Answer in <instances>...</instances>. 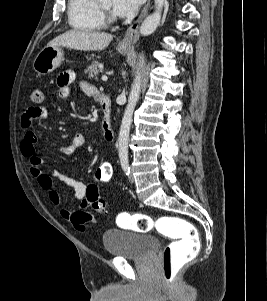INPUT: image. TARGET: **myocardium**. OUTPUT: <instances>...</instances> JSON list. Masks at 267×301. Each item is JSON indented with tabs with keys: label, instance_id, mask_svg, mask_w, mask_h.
<instances>
[{
	"label": "myocardium",
	"instance_id": "f54148a6",
	"mask_svg": "<svg viewBox=\"0 0 267 301\" xmlns=\"http://www.w3.org/2000/svg\"><path fill=\"white\" fill-rule=\"evenodd\" d=\"M97 7L104 22L108 24H113L116 22L115 18L110 14V12L102 7L99 0H97Z\"/></svg>",
	"mask_w": 267,
	"mask_h": 301
}]
</instances>
